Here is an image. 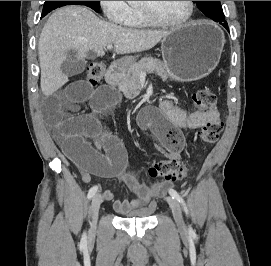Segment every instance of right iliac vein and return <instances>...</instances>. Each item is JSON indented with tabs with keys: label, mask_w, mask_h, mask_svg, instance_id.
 <instances>
[{
	"label": "right iliac vein",
	"mask_w": 271,
	"mask_h": 266,
	"mask_svg": "<svg viewBox=\"0 0 271 266\" xmlns=\"http://www.w3.org/2000/svg\"><path fill=\"white\" fill-rule=\"evenodd\" d=\"M102 202H103V197L100 193L96 194L94 198L92 199V202L90 205V213L92 216L91 235L95 233L97 218H98V211Z\"/></svg>",
	"instance_id": "1"
}]
</instances>
